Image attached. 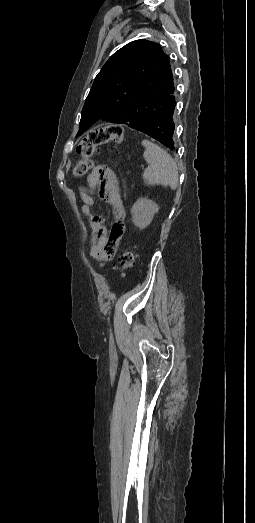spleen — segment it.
Instances as JSON below:
<instances>
[{
    "mask_svg": "<svg viewBox=\"0 0 255 523\" xmlns=\"http://www.w3.org/2000/svg\"><path fill=\"white\" fill-rule=\"evenodd\" d=\"M141 144L145 148L143 156L148 164V168L144 170L143 174L146 184L148 186L163 184V186H170L171 190H176L178 170L176 162L170 154L148 140H142Z\"/></svg>",
    "mask_w": 255,
    "mask_h": 523,
    "instance_id": "3e777b00",
    "label": "spleen"
}]
</instances>
